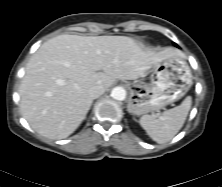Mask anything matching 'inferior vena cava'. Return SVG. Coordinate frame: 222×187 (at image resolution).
<instances>
[{
  "mask_svg": "<svg viewBox=\"0 0 222 187\" xmlns=\"http://www.w3.org/2000/svg\"><path fill=\"white\" fill-rule=\"evenodd\" d=\"M105 92V88L102 85H95L88 90V94L92 99H96Z\"/></svg>",
  "mask_w": 222,
  "mask_h": 187,
  "instance_id": "602c4592",
  "label": "inferior vena cava"
}]
</instances>
